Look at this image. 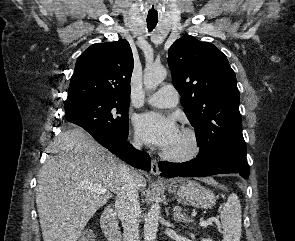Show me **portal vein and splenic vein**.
Listing matches in <instances>:
<instances>
[{
  "label": "portal vein and splenic vein",
  "instance_id": "obj_1",
  "mask_svg": "<svg viewBox=\"0 0 295 241\" xmlns=\"http://www.w3.org/2000/svg\"><path fill=\"white\" fill-rule=\"evenodd\" d=\"M84 188L90 189V190L100 193V194H105L107 192V190L105 188H103L102 186L97 185V184H85ZM213 221H214V219L201 220L199 224L201 227H207L208 225L212 224Z\"/></svg>",
  "mask_w": 295,
  "mask_h": 241
}]
</instances>
